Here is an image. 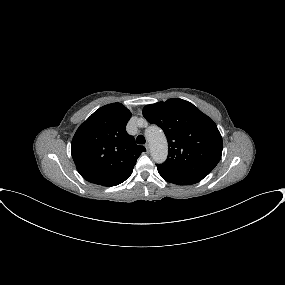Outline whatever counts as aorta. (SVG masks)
I'll return each instance as SVG.
<instances>
[{"mask_svg": "<svg viewBox=\"0 0 285 285\" xmlns=\"http://www.w3.org/2000/svg\"><path fill=\"white\" fill-rule=\"evenodd\" d=\"M145 136L150 144L151 156L156 163H163L168 155L167 139L158 126H150L145 131Z\"/></svg>", "mask_w": 285, "mask_h": 285, "instance_id": "aorta-1", "label": "aorta"}]
</instances>
